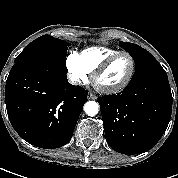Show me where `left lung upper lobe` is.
Returning a JSON list of instances; mask_svg holds the SVG:
<instances>
[{
    "mask_svg": "<svg viewBox=\"0 0 178 178\" xmlns=\"http://www.w3.org/2000/svg\"><path fill=\"white\" fill-rule=\"evenodd\" d=\"M120 46L132 56L135 62L136 69L130 82L153 74L166 73L159 62L144 48L127 42H120Z\"/></svg>",
    "mask_w": 178,
    "mask_h": 178,
    "instance_id": "obj_1",
    "label": "left lung upper lobe"
}]
</instances>
